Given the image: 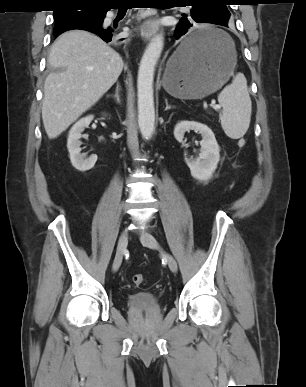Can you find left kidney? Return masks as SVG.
I'll list each match as a JSON object with an SVG mask.
<instances>
[{
	"mask_svg": "<svg viewBox=\"0 0 306 387\" xmlns=\"http://www.w3.org/2000/svg\"><path fill=\"white\" fill-rule=\"evenodd\" d=\"M193 130L202 136L200 153L195 159L185 158L193 178L200 181L211 179L220 161V147L214 133L206 125L195 121H181L174 128V137L181 143L186 132Z\"/></svg>",
	"mask_w": 306,
	"mask_h": 387,
	"instance_id": "1",
	"label": "left kidney"
}]
</instances>
